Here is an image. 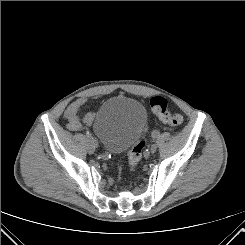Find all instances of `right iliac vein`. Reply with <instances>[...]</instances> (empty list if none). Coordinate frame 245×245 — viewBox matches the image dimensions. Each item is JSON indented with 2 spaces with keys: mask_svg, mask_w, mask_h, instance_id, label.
Segmentation results:
<instances>
[{
  "mask_svg": "<svg viewBox=\"0 0 245 245\" xmlns=\"http://www.w3.org/2000/svg\"><path fill=\"white\" fill-rule=\"evenodd\" d=\"M87 146H88V152L90 154H92L95 150V147H94V144L88 139V143H87Z\"/></svg>",
  "mask_w": 245,
  "mask_h": 245,
  "instance_id": "63e3f726",
  "label": "right iliac vein"
}]
</instances>
